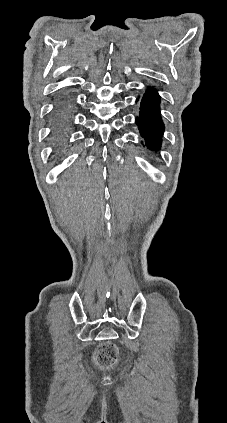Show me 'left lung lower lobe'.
I'll use <instances>...</instances> for the list:
<instances>
[{"instance_id":"1","label":"left lung lower lobe","mask_w":227,"mask_h":423,"mask_svg":"<svg viewBox=\"0 0 227 423\" xmlns=\"http://www.w3.org/2000/svg\"><path fill=\"white\" fill-rule=\"evenodd\" d=\"M140 134L145 138L146 146L155 151L161 146L164 125L159 110V96L149 89L140 103L139 116L136 119Z\"/></svg>"}]
</instances>
